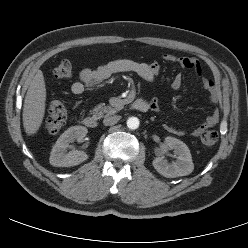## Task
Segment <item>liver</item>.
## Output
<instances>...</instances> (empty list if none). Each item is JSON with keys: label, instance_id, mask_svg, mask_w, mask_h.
<instances>
[{"label": "liver", "instance_id": "obj_1", "mask_svg": "<svg viewBox=\"0 0 248 248\" xmlns=\"http://www.w3.org/2000/svg\"><path fill=\"white\" fill-rule=\"evenodd\" d=\"M46 88L43 73L38 70L30 82L23 108V126L28 135L35 134L45 113Z\"/></svg>", "mask_w": 248, "mask_h": 248}]
</instances>
